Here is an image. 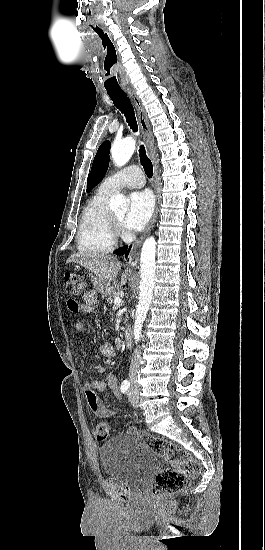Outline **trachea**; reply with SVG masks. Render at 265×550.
<instances>
[{
    "mask_svg": "<svg viewBox=\"0 0 265 550\" xmlns=\"http://www.w3.org/2000/svg\"><path fill=\"white\" fill-rule=\"evenodd\" d=\"M108 95L112 99L114 106H116L120 110V112L124 114L126 118V122L130 126V128L133 130V132H137L138 127H137L134 108L127 94L123 91H114V92L108 91ZM139 153H140L141 164L144 168V171L146 175L149 178H151L153 175V165L150 159L147 157L145 147L143 145L140 146Z\"/></svg>",
    "mask_w": 265,
    "mask_h": 550,
    "instance_id": "3493384b",
    "label": "trachea"
}]
</instances>
